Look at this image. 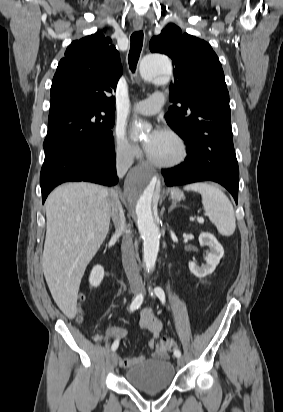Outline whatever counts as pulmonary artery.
Instances as JSON below:
<instances>
[{"label":"pulmonary artery","mask_w":283,"mask_h":412,"mask_svg":"<svg viewBox=\"0 0 283 412\" xmlns=\"http://www.w3.org/2000/svg\"><path fill=\"white\" fill-rule=\"evenodd\" d=\"M165 103V96L162 93L153 94L148 99L142 100L134 107L135 111L141 115H154Z\"/></svg>","instance_id":"e3ab8cb5"}]
</instances>
